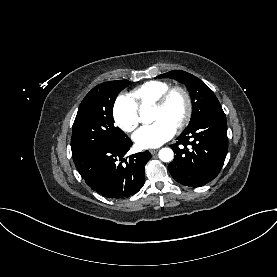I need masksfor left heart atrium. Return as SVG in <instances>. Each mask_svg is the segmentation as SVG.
Listing matches in <instances>:
<instances>
[{"label": "left heart atrium", "instance_id": "left-heart-atrium-1", "mask_svg": "<svg viewBox=\"0 0 277 277\" xmlns=\"http://www.w3.org/2000/svg\"><path fill=\"white\" fill-rule=\"evenodd\" d=\"M176 133V126L169 121L159 119L148 126L138 129L133 140L140 148H156L170 140Z\"/></svg>", "mask_w": 277, "mask_h": 277}]
</instances>
